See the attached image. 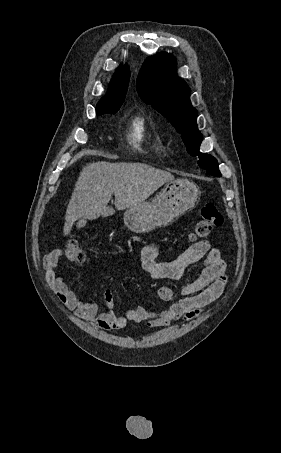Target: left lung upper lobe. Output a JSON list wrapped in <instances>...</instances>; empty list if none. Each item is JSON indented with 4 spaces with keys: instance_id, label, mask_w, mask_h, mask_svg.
Segmentation results:
<instances>
[{
    "instance_id": "5c2ea615",
    "label": "left lung upper lobe",
    "mask_w": 281,
    "mask_h": 453,
    "mask_svg": "<svg viewBox=\"0 0 281 453\" xmlns=\"http://www.w3.org/2000/svg\"><path fill=\"white\" fill-rule=\"evenodd\" d=\"M136 88L141 99L164 115L181 134L187 151L198 156L197 163L207 173L221 176L217 160L199 152L202 135L198 130L197 111L190 102V89L176 73V60L168 53H159L144 62Z\"/></svg>"
}]
</instances>
